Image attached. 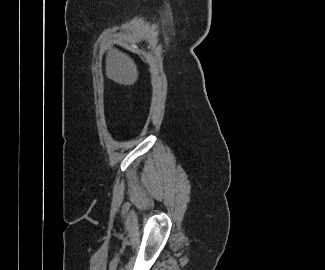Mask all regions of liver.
Listing matches in <instances>:
<instances>
[{"label":"liver","instance_id":"6515ba94","mask_svg":"<svg viewBox=\"0 0 325 270\" xmlns=\"http://www.w3.org/2000/svg\"><path fill=\"white\" fill-rule=\"evenodd\" d=\"M106 76L121 85H133L138 79L137 66L127 54L110 49L106 55Z\"/></svg>","mask_w":325,"mask_h":270}]
</instances>
